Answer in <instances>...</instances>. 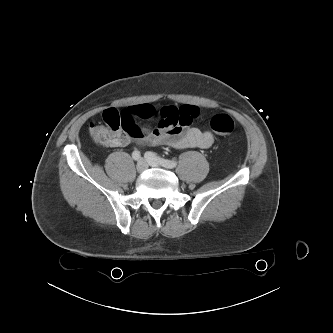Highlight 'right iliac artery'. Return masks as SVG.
I'll return each instance as SVG.
<instances>
[{"label":"right iliac artery","mask_w":333,"mask_h":333,"mask_svg":"<svg viewBox=\"0 0 333 333\" xmlns=\"http://www.w3.org/2000/svg\"><path fill=\"white\" fill-rule=\"evenodd\" d=\"M132 157H133L134 160H139L141 158L140 152L137 151V150L133 151Z\"/></svg>","instance_id":"82829eb1"}]
</instances>
